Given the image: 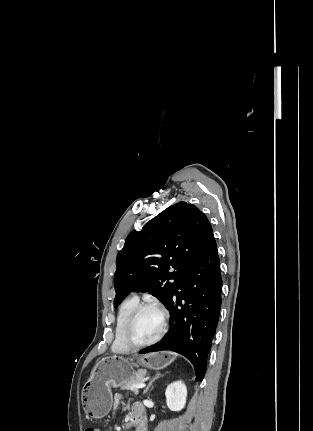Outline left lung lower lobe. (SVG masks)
<instances>
[{
    "instance_id": "left-lung-lower-lobe-1",
    "label": "left lung lower lobe",
    "mask_w": 313,
    "mask_h": 431,
    "mask_svg": "<svg viewBox=\"0 0 313 431\" xmlns=\"http://www.w3.org/2000/svg\"><path fill=\"white\" fill-rule=\"evenodd\" d=\"M221 288L217 244L211 232L166 307L170 313L169 331L159 343L140 353L178 352L191 361L195 380L201 382L221 310Z\"/></svg>"
}]
</instances>
